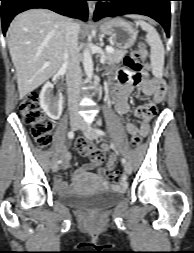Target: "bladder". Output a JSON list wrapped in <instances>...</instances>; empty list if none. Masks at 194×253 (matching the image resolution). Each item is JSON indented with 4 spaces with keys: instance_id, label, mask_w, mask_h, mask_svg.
I'll return each mask as SVG.
<instances>
[{
    "instance_id": "1",
    "label": "bladder",
    "mask_w": 194,
    "mask_h": 253,
    "mask_svg": "<svg viewBox=\"0 0 194 253\" xmlns=\"http://www.w3.org/2000/svg\"><path fill=\"white\" fill-rule=\"evenodd\" d=\"M124 196V192L114 186H106L90 192H70L59 196V200L69 206L99 211L113 206Z\"/></svg>"
}]
</instances>
